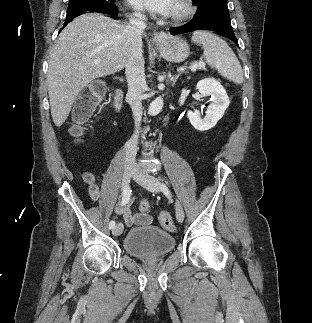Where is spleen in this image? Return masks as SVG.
<instances>
[{"label": "spleen", "mask_w": 312, "mask_h": 323, "mask_svg": "<svg viewBox=\"0 0 312 323\" xmlns=\"http://www.w3.org/2000/svg\"><path fill=\"white\" fill-rule=\"evenodd\" d=\"M191 40L195 44H202L205 62L211 68L218 70L221 76L228 78L234 84H242V68L227 42H224L222 38H218L216 34L208 32V30H196L192 34Z\"/></svg>", "instance_id": "obj_1"}]
</instances>
